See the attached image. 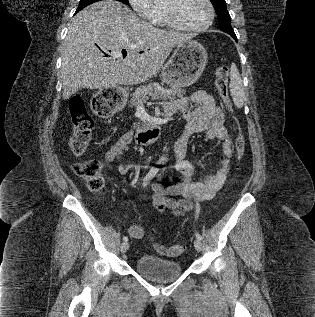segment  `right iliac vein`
I'll use <instances>...</instances> for the list:
<instances>
[{
  "instance_id": "right-iliac-vein-1",
  "label": "right iliac vein",
  "mask_w": 315,
  "mask_h": 317,
  "mask_svg": "<svg viewBox=\"0 0 315 317\" xmlns=\"http://www.w3.org/2000/svg\"><path fill=\"white\" fill-rule=\"evenodd\" d=\"M128 248H129L128 242H123L120 246V250L122 253H125L128 250Z\"/></svg>"
}]
</instances>
